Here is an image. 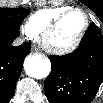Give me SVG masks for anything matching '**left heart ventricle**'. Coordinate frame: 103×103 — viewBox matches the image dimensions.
<instances>
[{
	"mask_svg": "<svg viewBox=\"0 0 103 103\" xmlns=\"http://www.w3.org/2000/svg\"><path fill=\"white\" fill-rule=\"evenodd\" d=\"M84 16L80 12H74L67 16L49 37V44L56 48L71 45L84 28Z\"/></svg>",
	"mask_w": 103,
	"mask_h": 103,
	"instance_id": "left-heart-ventricle-1",
	"label": "left heart ventricle"
}]
</instances>
